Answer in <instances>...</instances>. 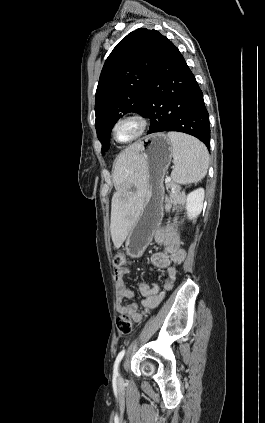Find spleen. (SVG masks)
<instances>
[{"label":"spleen","mask_w":265,"mask_h":423,"mask_svg":"<svg viewBox=\"0 0 265 423\" xmlns=\"http://www.w3.org/2000/svg\"><path fill=\"white\" fill-rule=\"evenodd\" d=\"M172 143L174 169L171 177L174 183L191 184L201 181L207 174L209 155L203 143L189 135L168 132Z\"/></svg>","instance_id":"1"}]
</instances>
